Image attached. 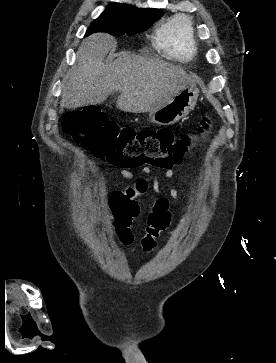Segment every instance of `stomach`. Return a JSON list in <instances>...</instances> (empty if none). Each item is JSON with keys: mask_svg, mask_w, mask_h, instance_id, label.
Returning <instances> with one entry per match:
<instances>
[{"mask_svg": "<svg viewBox=\"0 0 276 363\" xmlns=\"http://www.w3.org/2000/svg\"><path fill=\"white\" fill-rule=\"evenodd\" d=\"M198 95L196 85H188L165 104L150 111L149 119L158 125H172L194 109Z\"/></svg>", "mask_w": 276, "mask_h": 363, "instance_id": "obj_1", "label": "stomach"}]
</instances>
